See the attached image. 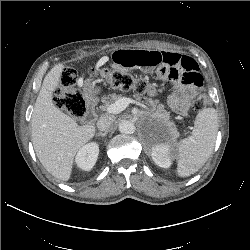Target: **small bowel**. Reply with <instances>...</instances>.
<instances>
[{"label": "small bowel", "mask_w": 250, "mask_h": 250, "mask_svg": "<svg viewBox=\"0 0 250 250\" xmlns=\"http://www.w3.org/2000/svg\"><path fill=\"white\" fill-rule=\"evenodd\" d=\"M119 68L139 69L145 73L156 72L164 81L173 83L175 91L169 96V106L180 115H187L190 103L203 84L196 61L174 52L120 49L112 55Z\"/></svg>", "instance_id": "small-bowel-1"}]
</instances>
